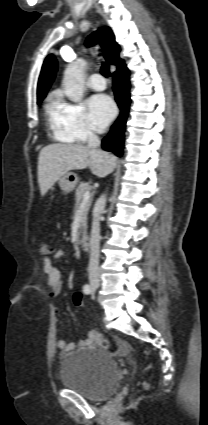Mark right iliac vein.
I'll return each instance as SVG.
<instances>
[{
    "label": "right iliac vein",
    "mask_w": 208,
    "mask_h": 425,
    "mask_svg": "<svg viewBox=\"0 0 208 425\" xmlns=\"http://www.w3.org/2000/svg\"><path fill=\"white\" fill-rule=\"evenodd\" d=\"M95 286H96V283H93V284H92V287H95Z\"/></svg>",
    "instance_id": "obj_1"
}]
</instances>
